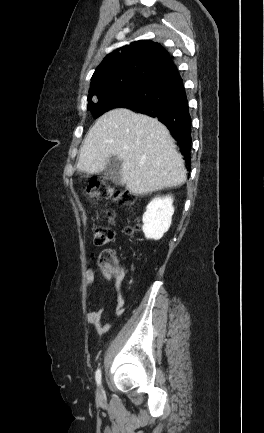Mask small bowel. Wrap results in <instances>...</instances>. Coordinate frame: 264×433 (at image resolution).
Returning a JSON list of instances; mask_svg holds the SVG:
<instances>
[{"mask_svg": "<svg viewBox=\"0 0 264 433\" xmlns=\"http://www.w3.org/2000/svg\"><path fill=\"white\" fill-rule=\"evenodd\" d=\"M124 279V273L121 271L115 278V294H116V315L120 316L124 312V297L121 292V285ZM85 281L88 286H91L95 282V277L92 271L88 270L85 274ZM104 309L99 307L95 310H91L87 314V321L93 325L96 333L101 336L106 334L110 330V324L104 322L103 317Z\"/></svg>", "mask_w": 264, "mask_h": 433, "instance_id": "small-bowel-1", "label": "small bowel"}]
</instances>
